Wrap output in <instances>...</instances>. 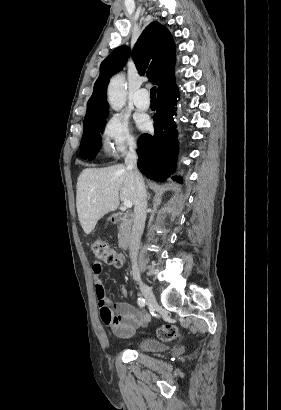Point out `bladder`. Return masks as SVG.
Masks as SVG:
<instances>
[{"mask_svg": "<svg viewBox=\"0 0 281 410\" xmlns=\"http://www.w3.org/2000/svg\"><path fill=\"white\" fill-rule=\"evenodd\" d=\"M137 349L143 352H160L165 350V345L152 338H143L137 343Z\"/></svg>", "mask_w": 281, "mask_h": 410, "instance_id": "31cf9c89", "label": "bladder"}]
</instances>
